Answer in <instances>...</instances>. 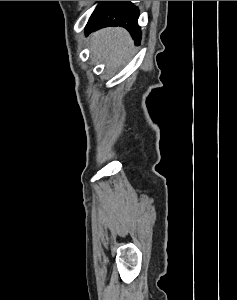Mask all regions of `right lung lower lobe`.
<instances>
[{
	"instance_id": "obj_1",
	"label": "right lung lower lobe",
	"mask_w": 237,
	"mask_h": 300,
	"mask_svg": "<svg viewBox=\"0 0 237 300\" xmlns=\"http://www.w3.org/2000/svg\"><path fill=\"white\" fill-rule=\"evenodd\" d=\"M139 10L131 1H117L98 21L86 27V35L107 26H122L126 28L135 43L141 39L140 27L137 24Z\"/></svg>"
}]
</instances>
